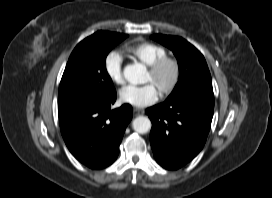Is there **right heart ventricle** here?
<instances>
[{"label":"right heart ventricle","instance_id":"e07e8e85","mask_svg":"<svg viewBox=\"0 0 272 198\" xmlns=\"http://www.w3.org/2000/svg\"><path fill=\"white\" fill-rule=\"evenodd\" d=\"M125 50L129 55L147 66L167 56V50L164 47L149 41L136 42L128 45Z\"/></svg>","mask_w":272,"mask_h":198}]
</instances>
